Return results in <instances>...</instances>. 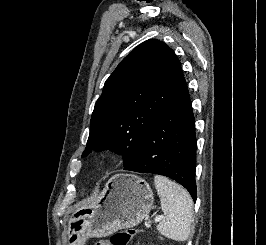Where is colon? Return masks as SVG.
Wrapping results in <instances>:
<instances>
[{
	"label": "colon",
	"mask_w": 266,
	"mask_h": 245,
	"mask_svg": "<svg viewBox=\"0 0 266 245\" xmlns=\"http://www.w3.org/2000/svg\"><path fill=\"white\" fill-rule=\"evenodd\" d=\"M137 234L134 228H128L114 233L110 239V245H129L130 240ZM96 245H106L104 241H98Z\"/></svg>",
	"instance_id": "obj_1"
}]
</instances>
